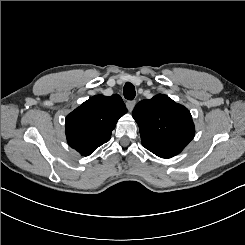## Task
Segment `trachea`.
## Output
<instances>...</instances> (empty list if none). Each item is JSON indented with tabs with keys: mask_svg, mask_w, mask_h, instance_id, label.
Segmentation results:
<instances>
[{
	"mask_svg": "<svg viewBox=\"0 0 245 245\" xmlns=\"http://www.w3.org/2000/svg\"><path fill=\"white\" fill-rule=\"evenodd\" d=\"M123 94H124V97L126 99L133 100L135 95H136V91H135L134 85L132 83H130V82H127L124 85Z\"/></svg>",
	"mask_w": 245,
	"mask_h": 245,
	"instance_id": "obj_1",
	"label": "trachea"
}]
</instances>
